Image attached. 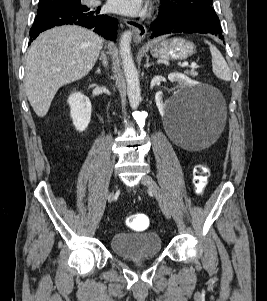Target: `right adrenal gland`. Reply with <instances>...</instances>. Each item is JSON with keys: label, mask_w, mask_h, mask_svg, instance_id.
<instances>
[{"label": "right adrenal gland", "mask_w": 267, "mask_h": 301, "mask_svg": "<svg viewBox=\"0 0 267 301\" xmlns=\"http://www.w3.org/2000/svg\"><path fill=\"white\" fill-rule=\"evenodd\" d=\"M96 73H97V74H101V73H102V70H101L100 67L97 68Z\"/></svg>", "instance_id": "1"}]
</instances>
